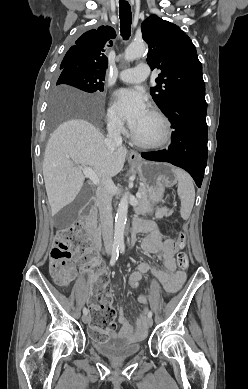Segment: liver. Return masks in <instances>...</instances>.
Returning <instances> with one entry per match:
<instances>
[{"label": "liver", "instance_id": "obj_1", "mask_svg": "<svg viewBox=\"0 0 248 389\" xmlns=\"http://www.w3.org/2000/svg\"><path fill=\"white\" fill-rule=\"evenodd\" d=\"M55 99L69 106L94 102L91 96L70 88L57 89ZM105 140L93 124L80 118L62 123L51 134L43 176L52 216L72 203L84 184L85 177L77 165L92 168L101 179L114 177L123 169L127 150L118 147L110 151Z\"/></svg>", "mask_w": 248, "mask_h": 389}]
</instances>
